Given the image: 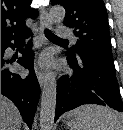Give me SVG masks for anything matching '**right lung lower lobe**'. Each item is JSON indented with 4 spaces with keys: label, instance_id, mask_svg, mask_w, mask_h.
Returning <instances> with one entry per match:
<instances>
[{
    "label": "right lung lower lobe",
    "instance_id": "right-lung-lower-lobe-1",
    "mask_svg": "<svg viewBox=\"0 0 123 130\" xmlns=\"http://www.w3.org/2000/svg\"><path fill=\"white\" fill-rule=\"evenodd\" d=\"M30 35H32L31 31L22 37L1 42V94L13 101L29 128L40 96L39 83L33 69L34 55L31 51V40L25 49L21 50L22 57L17 60L20 66L30 70L26 78L9 69V64L14 60L5 57V50L8 47L12 49L21 47L24 39Z\"/></svg>",
    "mask_w": 123,
    "mask_h": 130
}]
</instances>
